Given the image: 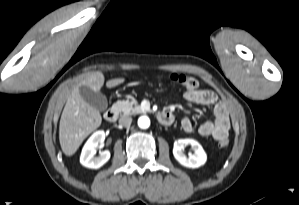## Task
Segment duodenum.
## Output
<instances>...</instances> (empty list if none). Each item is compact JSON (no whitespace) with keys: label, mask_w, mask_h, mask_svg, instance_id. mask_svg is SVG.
Returning a JSON list of instances; mask_svg holds the SVG:
<instances>
[{"label":"duodenum","mask_w":299,"mask_h":205,"mask_svg":"<svg viewBox=\"0 0 299 205\" xmlns=\"http://www.w3.org/2000/svg\"><path fill=\"white\" fill-rule=\"evenodd\" d=\"M104 118L108 122H115L118 118V110L117 108H109L104 113ZM173 115L170 112L164 111L158 115V120L163 125H170L173 122Z\"/></svg>","instance_id":"1"}]
</instances>
